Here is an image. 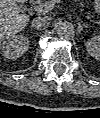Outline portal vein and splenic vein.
Returning <instances> with one entry per match:
<instances>
[{"instance_id": "18ae733b", "label": "portal vein and splenic vein", "mask_w": 100, "mask_h": 118, "mask_svg": "<svg viewBox=\"0 0 100 118\" xmlns=\"http://www.w3.org/2000/svg\"><path fill=\"white\" fill-rule=\"evenodd\" d=\"M56 3H62V0H48L42 5L35 6L34 10L39 14H46L54 8Z\"/></svg>"}]
</instances>
